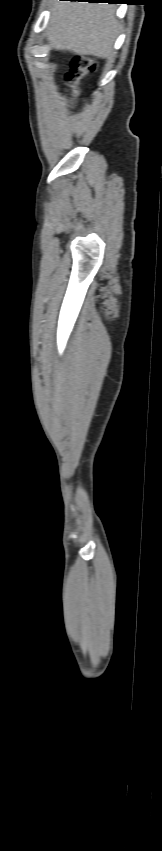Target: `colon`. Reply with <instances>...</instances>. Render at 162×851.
<instances>
[{"instance_id":"colon-1","label":"colon","mask_w":162,"mask_h":851,"mask_svg":"<svg viewBox=\"0 0 162 851\" xmlns=\"http://www.w3.org/2000/svg\"><path fill=\"white\" fill-rule=\"evenodd\" d=\"M96 69L93 59L84 56H75L71 60L70 70L66 73V80L75 89L80 81Z\"/></svg>"}]
</instances>
